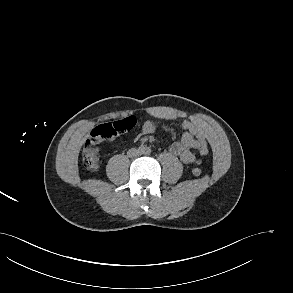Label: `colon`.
I'll list each match as a JSON object with an SVG mask.
<instances>
[{
  "instance_id": "5ec220e1",
  "label": "colon",
  "mask_w": 293,
  "mask_h": 293,
  "mask_svg": "<svg viewBox=\"0 0 293 293\" xmlns=\"http://www.w3.org/2000/svg\"><path fill=\"white\" fill-rule=\"evenodd\" d=\"M135 126L132 117H128L115 123H107L97 126L86 142L82 153L84 166L90 171H97L100 167L99 146L106 141H112ZM194 176H200L202 171L198 167L191 170Z\"/></svg>"
}]
</instances>
